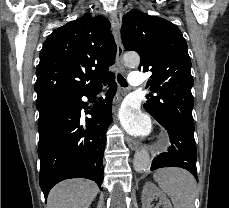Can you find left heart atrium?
Segmentation results:
<instances>
[{
	"label": "left heart atrium",
	"instance_id": "39dd6f15",
	"mask_svg": "<svg viewBox=\"0 0 229 208\" xmlns=\"http://www.w3.org/2000/svg\"><path fill=\"white\" fill-rule=\"evenodd\" d=\"M119 120L133 134L143 135L149 130L148 118L141 113L137 105L130 103L124 104L119 112Z\"/></svg>",
	"mask_w": 229,
	"mask_h": 208
}]
</instances>
